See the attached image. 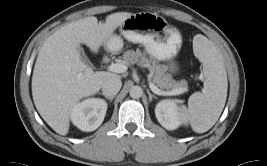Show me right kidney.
Segmentation results:
<instances>
[{"label":"right kidney","instance_id":"right-kidney-1","mask_svg":"<svg viewBox=\"0 0 267 166\" xmlns=\"http://www.w3.org/2000/svg\"><path fill=\"white\" fill-rule=\"evenodd\" d=\"M107 103L98 98H89L77 103L71 112V120L82 131H94L103 122Z\"/></svg>","mask_w":267,"mask_h":166}]
</instances>
